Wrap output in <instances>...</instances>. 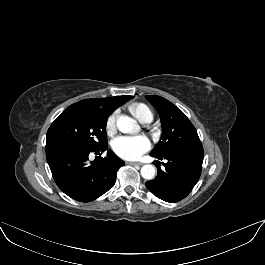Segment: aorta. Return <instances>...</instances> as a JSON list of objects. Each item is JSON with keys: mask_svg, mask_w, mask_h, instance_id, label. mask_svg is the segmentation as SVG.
Masks as SVG:
<instances>
[{"mask_svg": "<svg viewBox=\"0 0 265 265\" xmlns=\"http://www.w3.org/2000/svg\"><path fill=\"white\" fill-rule=\"evenodd\" d=\"M117 127L122 133H135L139 130V125L136 121L129 117L122 115L117 120ZM156 169L153 165L147 164L141 168V176L144 179L151 180L154 178Z\"/></svg>", "mask_w": 265, "mask_h": 265, "instance_id": "obj_1", "label": "aorta"}]
</instances>
